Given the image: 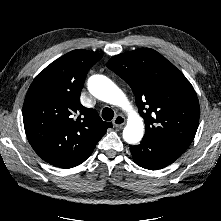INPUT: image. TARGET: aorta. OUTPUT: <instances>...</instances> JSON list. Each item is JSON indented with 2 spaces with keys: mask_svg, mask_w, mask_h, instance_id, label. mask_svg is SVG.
I'll return each instance as SVG.
<instances>
[{
  "mask_svg": "<svg viewBox=\"0 0 221 221\" xmlns=\"http://www.w3.org/2000/svg\"><path fill=\"white\" fill-rule=\"evenodd\" d=\"M87 86L89 92L97 99L127 112L128 120L123 130V139L129 144L138 143L144 134L143 119L132 107L123 91L108 77L99 74L91 76Z\"/></svg>",
  "mask_w": 221,
  "mask_h": 221,
  "instance_id": "762f6f07",
  "label": "aorta"
}]
</instances>
